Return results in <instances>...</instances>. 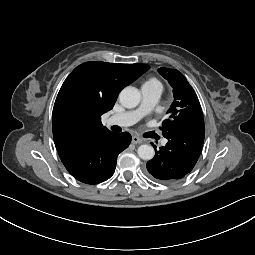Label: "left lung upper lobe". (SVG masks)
Wrapping results in <instances>:
<instances>
[{"mask_svg":"<svg viewBox=\"0 0 255 255\" xmlns=\"http://www.w3.org/2000/svg\"><path fill=\"white\" fill-rule=\"evenodd\" d=\"M158 72L168 80L173 88L174 101L167 111V118L163 121V136L170 130L203 117L198 97L186 78L178 70L159 68Z\"/></svg>","mask_w":255,"mask_h":255,"instance_id":"5c2ea615","label":"left lung upper lobe"}]
</instances>
